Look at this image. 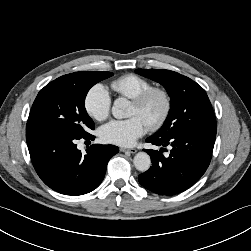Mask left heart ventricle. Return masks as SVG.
I'll return each instance as SVG.
<instances>
[{
	"mask_svg": "<svg viewBox=\"0 0 251 251\" xmlns=\"http://www.w3.org/2000/svg\"><path fill=\"white\" fill-rule=\"evenodd\" d=\"M162 106L161 100L158 97H155L144 109L138 108L135 104H131L130 116H139L145 123L148 125L151 119H153L160 111Z\"/></svg>",
	"mask_w": 251,
	"mask_h": 251,
	"instance_id": "left-heart-ventricle-1",
	"label": "left heart ventricle"
}]
</instances>
